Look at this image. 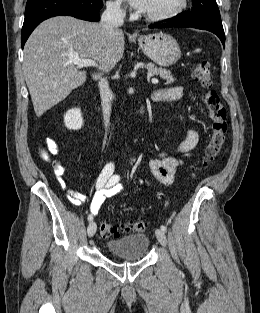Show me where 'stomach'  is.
<instances>
[{"label":"stomach","instance_id":"0dacf381","mask_svg":"<svg viewBox=\"0 0 260 313\" xmlns=\"http://www.w3.org/2000/svg\"><path fill=\"white\" fill-rule=\"evenodd\" d=\"M138 42L143 52L161 67L172 66L181 57L179 44L166 33L158 32L142 36Z\"/></svg>","mask_w":260,"mask_h":313}]
</instances>
